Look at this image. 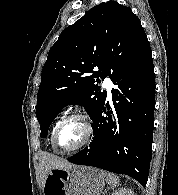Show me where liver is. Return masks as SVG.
<instances>
[{
    "label": "liver",
    "mask_w": 178,
    "mask_h": 195,
    "mask_svg": "<svg viewBox=\"0 0 178 195\" xmlns=\"http://www.w3.org/2000/svg\"><path fill=\"white\" fill-rule=\"evenodd\" d=\"M75 165L67 162L65 159L50 155L43 154L40 158V168L42 172V184L52 169H72Z\"/></svg>",
    "instance_id": "1"
}]
</instances>
